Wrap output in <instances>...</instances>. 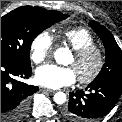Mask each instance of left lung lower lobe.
I'll return each instance as SVG.
<instances>
[{
	"instance_id": "obj_1",
	"label": "left lung lower lobe",
	"mask_w": 122,
	"mask_h": 122,
	"mask_svg": "<svg viewBox=\"0 0 122 122\" xmlns=\"http://www.w3.org/2000/svg\"><path fill=\"white\" fill-rule=\"evenodd\" d=\"M83 90L69 94L63 115L72 122H90L107 115L122 94V81L110 80L89 84Z\"/></svg>"
}]
</instances>
